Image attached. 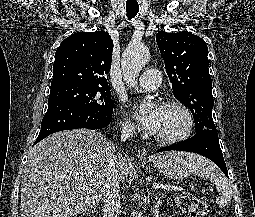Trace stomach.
Segmentation results:
<instances>
[{"mask_svg": "<svg viewBox=\"0 0 255 217\" xmlns=\"http://www.w3.org/2000/svg\"><path fill=\"white\" fill-rule=\"evenodd\" d=\"M152 162L159 172L173 179L186 178L192 171V165L189 160L179 152L159 155Z\"/></svg>", "mask_w": 255, "mask_h": 217, "instance_id": "obj_1", "label": "stomach"}]
</instances>
